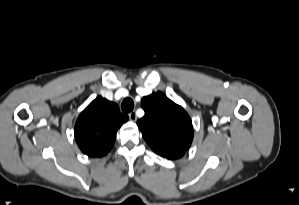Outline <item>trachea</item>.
<instances>
[{
	"mask_svg": "<svg viewBox=\"0 0 299 205\" xmlns=\"http://www.w3.org/2000/svg\"><path fill=\"white\" fill-rule=\"evenodd\" d=\"M134 108V102L131 98H126L123 100L121 109L123 112L128 113L131 112Z\"/></svg>",
	"mask_w": 299,
	"mask_h": 205,
	"instance_id": "trachea-1",
	"label": "trachea"
}]
</instances>
